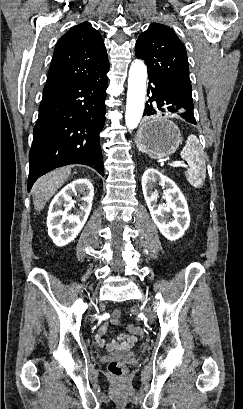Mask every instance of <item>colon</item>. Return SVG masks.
Masks as SVG:
<instances>
[{
  "label": "colon",
  "mask_w": 243,
  "mask_h": 409,
  "mask_svg": "<svg viewBox=\"0 0 243 409\" xmlns=\"http://www.w3.org/2000/svg\"><path fill=\"white\" fill-rule=\"evenodd\" d=\"M121 312L119 309L113 310L111 313V320L114 324H118L120 321ZM128 331L130 333L136 334L137 336H142L143 331L140 327L130 325L128 326ZM109 373L116 379H120L125 374L126 368L125 365L120 361H111L108 364Z\"/></svg>",
  "instance_id": "obj_1"
}]
</instances>
